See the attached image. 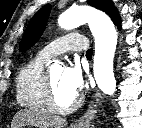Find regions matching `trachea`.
I'll return each instance as SVG.
<instances>
[{"label":"trachea","instance_id":"obj_1","mask_svg":"<svg viewBox=\"0 0 142 128\" xmlns=\"http://www.w3.org/2000/svg\"><path fill=\"white\" fill-rule=\"evenodd\" d=\"M92 54H93V50H92V49H89V50L86 52V56H87V57H92Z\"/></svg>","mask_w":142,"mask_h":128}]
</instances>
